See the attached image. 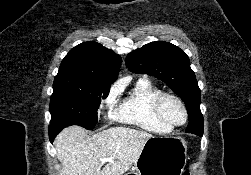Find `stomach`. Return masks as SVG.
Masks as SVG:
<instances>
[{"instance_id": "stomach-1", "label": "stomach", "mask_w": 251, "mask_h": 175, "mask_svg": "<svg viewBox=\"0 0 251 175\" xmlns=\"http://www.w3.org/2000/svg\"><path fill=\"white\" fill-rule=\"evenodd\" d=\"M186 161L187 145L183 137L152 135L146 139L127 175H182Z\"/></svg>"}]
</instances>
